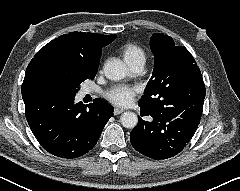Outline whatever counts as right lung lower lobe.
Segmentation results:
<instances>
[{
  "mask_svg": "<svg viewBox=\"0 0 240 191\" xmlns=\"http://www.w3.org/2000/svg\"><path fill=\"white\" fill-rule=\"evenodd\" d=\"M28 124L40 145L54 156L73 159L89 152L113 115L101 99L84 105L51 94L22 95Z\"/></svg>",
  "mask_w": 240,
  "mask_h": 191,
  "instance_id": "98d812e1",
  "label": "right lung lower lobe"
}]
</instances>
